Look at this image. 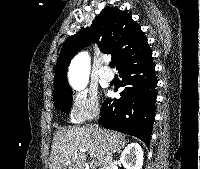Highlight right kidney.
<instances>
[{
  "mask_svg": "<svg viewBox=\"0 0 200 169\" xmlns=\"http://www.w3.org/2000/svg\"><path fill=\"white\" fill-rule=\"evenodd\" d=\"M120 163L125 169H141L143 165V150L138 143H131L123 150Z\"/></svg>",
  "mask_w": 200,
  "mask_h": 169,
  "instance_id": "1",
  "label": "right kidney"
}]
</instances>
